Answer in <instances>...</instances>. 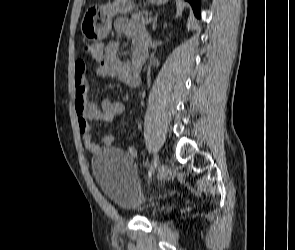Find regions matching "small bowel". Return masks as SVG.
Wrapping results in <instances>:
<instances>
[{
	"mask_svg": "<svg viewBox=\"0 0 295 250\" xmlns=\"http://www.w3.org/2000/svg\"><path fill=\"white\" fill-rule=\"evenodd\" d=\"M115 28L121 36L131 39L134 47L132 59L129 61L119 59L117 41H111L106 46L98 45L91 55L99 64L96 73L102 77H117L125 85L138 88L142 82L141 69L148 46V37L144 31L136 29L133 24L124 19L118 21ZM75 110L83 145L92 153L96 152L99 146L93 138L90 121L108 122L124 110V105L120 101L109 98L96 100L90 95L87 65L84 60H78L75 65ZM113 142L114 138L111 135L104 136L102 139L105 146H110ZM128 152L132 157L137 156L135 149L130 148Z\"/></svg>",
	"mask_w": 295,
	"mask_h": 250,
	"instance_id": "c3829d8e",
	"label": "small bowel"
}]
</instances>
